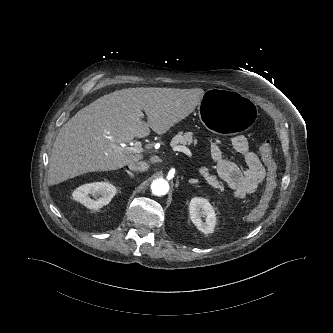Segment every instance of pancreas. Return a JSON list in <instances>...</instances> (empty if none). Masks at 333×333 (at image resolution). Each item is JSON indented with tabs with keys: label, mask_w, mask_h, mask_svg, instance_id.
<instances>
[{
	"label": "pancreas",
	"mask_w": 333,
	"mask_h": 333,
	"mask_svg": "<svg viewBox=\"0 0 333 333\" xmlns=\"http://www.w3.org/2000/svg\"><path fill=\"white\" fill-rule=\"evenodd\" d=\"M197 144V139L193 137V134L191 132H179L177 135H175L171 140V146L176 145H190V144ZM200 173L203 175L204 179L207 181L208 184L211 186L220 189L221 191L224 190V185L221 181L217 180V178L213 175L209 174V169L206 167H202L200 169Z\"/></svg>",
	"instance_id": "1"
}]
</instances>
